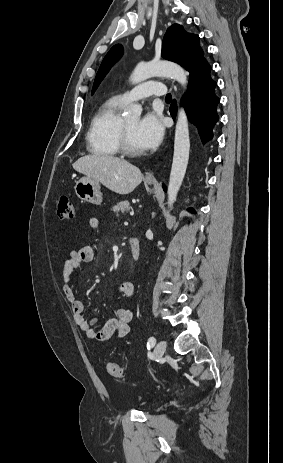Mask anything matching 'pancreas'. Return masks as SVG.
Masks as SVG:
<instances>
[{
  "label": "pancreas",
  "instance_id": "cf45deb5",
  "mask_svg": "<svg viewBox=\"0 0 283 463\" xmlns=\"http://www.w3.org/2000/svg\"><path fill=\"white\" fill-rule=\"evenodd\" d=\"M130 209H131V206H130V203L128 201H121V202L117 203V205L112 208V210L114 212H116L117 214L119 212H121V213L128 212Z\"/></svg>",
  "mask_w": 283,
  "mask_h": 463
}]
</instances>
